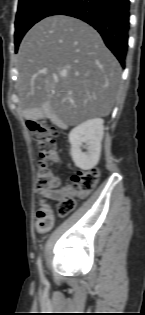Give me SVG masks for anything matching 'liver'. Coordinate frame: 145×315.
Here are the masks:
<instances>
[{
    "mask_svg": "<svg viewBox=\"0 0 145 315\" xmlns=\"http://www.w3.org/2000/svg\"><path fill=\"white\" fill-rule=\"evenodd\" d=\"M16 67L24 117L68 126L108 116L121 79L120 64L99 33L65 15L47 17L28 31Z\"/></svg>",
    "mask_w": 145,
    "mask_h": 315,
    "instance_id": "1",
    "label": "liver"
}]
</instances>
